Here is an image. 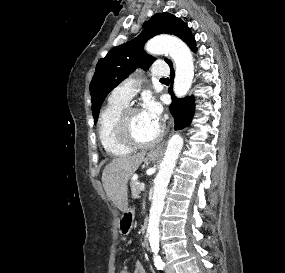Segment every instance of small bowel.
<instances>
[{
  "mask_svg": "<svg viewBox=\"0 0 285 273\" xmlns=\"http://www.w3.org/2000/svg\"><path fill=\"white\" fill-rule=\"evenodd\" d=\"M125 273H130L127 269H125ZM132 273H146L141 262L136 261L133 266Z\"/></svg>",
  "mask_w": 285,
  "mask_h": 273,
  "instance_id": "obj_1",
  "label": "small bowel"
}]
</instances>
